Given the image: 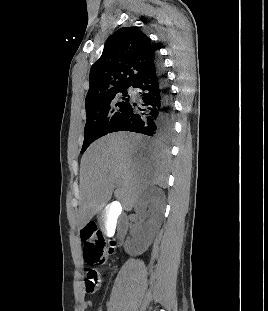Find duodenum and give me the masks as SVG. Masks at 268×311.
<instances>
[{
    "label": "duodenum",
    "instance_id": "1",
    "mask_svg": "<svg viewBox=\"0 0 268 311\" xmlns=\"http://www.w3.org/2000/svg\"><path fill=\"white\" fill-rule=\"evenodd\" d=\"M126 228H127L126 222L123 220H119L117 226L118 236L117 238H113L109 241L111 248H114L117 245L118 240L123 236L124 232L126 231Z\"/></svg>",
    "mask_w": 268,
    "mask_h": 311
}]
</instances>
